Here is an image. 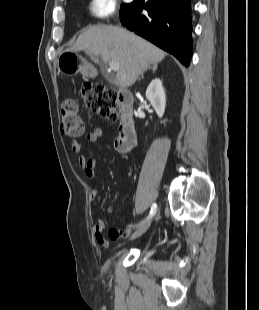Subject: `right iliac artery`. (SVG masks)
<instances>
[{"label": "right iliac artery", "instance_id": "82829eb1", "mask_svg": "<svg viewBox=\"0 0 259 310\" xmlns=\"http://www.w3.org/2000/svg\"><path fill=\"white\" fill-rule=\"evenodd\" d=\"M156 210H157L156 204H152L151 211H150L149 216L147 217L146 220L152 218V217L155 215ZM144 222H145V221H144ZM142 223H143V222H142ZM142 223H141V224H142Z\"/></svg>", "mask_w": 259, "mask_h": 310}]
</instances>
